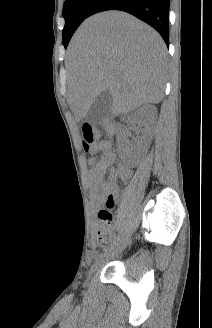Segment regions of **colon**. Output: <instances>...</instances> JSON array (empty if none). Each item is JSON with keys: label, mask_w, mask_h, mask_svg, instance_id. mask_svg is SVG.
<instances>
[{"label": "colon", "mask_w": 212, "mask_h": 328, "mask_svg": "<svg viewBox=\"0 0 212 328\" xmlns=\"http://www.w3.org/2000/svg\"><path fill=\"white\" fill-rule=\"evenodd\" d=\"M82 135V144L85 151H91L99 140V132L90 124L83 123L80 127ZM114 206V196L111 194L108 197L105 209L99 212L100 226L96 233V242L99 245L110 244L114 239V234L111 231L112 215L110 209Z\"/></svg>", "instance_id": "1"}]
</instances>
